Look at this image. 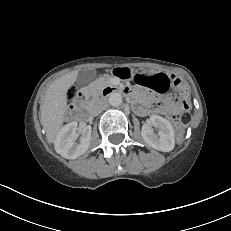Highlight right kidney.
Listing matches in <instances>:
<instances>
[{
    "mask_svg": "<svg viewBox=\"0 0 231 231\" xmlns=\"http://www.w3.org/2000/svg\"><path fill=\"white\" fill-rule=\"evenodd\" d=\"M77 122L73 121L63 126L56 135L54 146L58 154L66 159H76L89 148L91 141V127H85L81 132L80 143L75 141L78 137Z\"/></svg>",
    "mask_w": 231,
    "mask_h": 231,
    "instance_id": "obj_1",
    "label": "right kidney"
}]
</instances>
